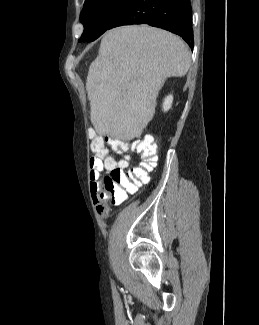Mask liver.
<instances>
[{
  "instance_id": "obj_1",
  "label": "liver",
  "mask_w": 259,
  "mask_h": 325,
  "mask_svg": "<svg viewBox=\"0 0 259 325\" xmlns=\"http://www.w3.org/2000/svg\"><path fill=\"white\" fill-rule=\"evenodd\" d=\"M190 64L186 43L168 31L146 25L109 30L86 81L96 132L122 141L139 138L165 80L186 75Z\"/></svg>"
}]
</instances>
